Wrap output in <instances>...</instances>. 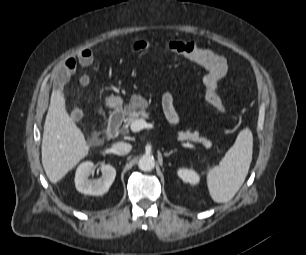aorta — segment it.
I'll list each match as a JSON object with an SVG mask.
<instances>
[{
	"instance_id": "762f6f07",
	"label": "aorta",
	"mask_w": 306,
	"mask_h": 255,
	"mask_svg": "<svg viewBox=\"0 0 306 255\" xmlns=\"http://www.w3.org/2000/svg\"><path fill=\"white\" fill-rule=\"evenodd\" d=\"M155 160L152 156H143L138 161V167L142 171H151L154 169Z\"/></svg>"
}]
</instances>
